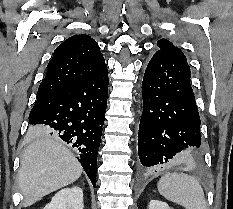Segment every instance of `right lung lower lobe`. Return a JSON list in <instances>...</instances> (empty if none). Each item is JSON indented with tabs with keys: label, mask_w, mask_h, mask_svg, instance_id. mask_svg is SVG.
I'll return each mask as SVG.
<instances>
[{
	"label": "right lung lower lobe",
	"mask_w": 233,
	"mask_h": 209,
	"mask_svg": "<svg viewBox=\"0 0 233 209\" xmlns=\"http://www.w3.org/2000/svg\"><path fill=\"white\" fill-rule=\"evenodd\" d=\"M107 95L105 66L78 84L38 98L29 115V124L35 125L31 127L51 131L74 148L94 187Z\"/></svg>",
	"instance_id": "98d812e1"
}]
</instances>
